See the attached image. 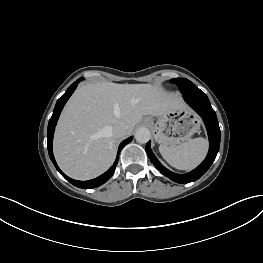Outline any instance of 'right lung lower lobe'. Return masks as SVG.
I'll return each instance as SVG.
<instances>
[{"label": "right lung lower lobe", "mask_w": 263, "mask_h": 263, "mask_svg": "<svg viewBox=\"0 0 263 263\" xmlns=\"http://www.w3.org/2000/svg\"><path fill=\"white\" fill-rule=\"evenodd\" d=\"M83 78H79L78 80H76L68 89L67 91L63 94V96H61L54 108L53 111V115L49 120L48 123V130H47V148H48V153L50 156L51 161L53 162L54 166L56 167V169L61 173V175L67 179L71 184H73L76 187L79 188H85V189H91V188H96L102 184H104L107 180H109L111 178V176L113 175L118 159H119V153L120 150L126 145L128 144L130 141H132L133 136L127 138L126 140H124L120 146H119V150H118V154H117V158L113 164V166H111L104 174L100 175L99 177L92 179V180H88V181H77L74 179L69 178L68 176H66L58 167L55 159H54V155L52 152V141H53V134H54V130H55V126L57 124V120L59 118V115L65 105V103L67 102V100L69 99V97L72 95V93L74 92V90L76 89L78 83L80 81H82Z\"/></svg>", "instance_id": "obj_1"}]
</instances>
